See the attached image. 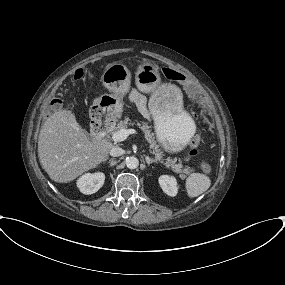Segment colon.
<instances>
[{
  "instance_id": "colon-1",
  "label": "colon",
  "mask_w": 285,
  "mask_h": 285,
  "mask_svg": "<svg viewBox=\"0 0 285 285\" xmlns=\"http://www.w3.org/2000/svg\"><path fill=\"white\" fill-rule=\"evenodd\" d=\"M163 74L167 79L182 84L189 98H191L193 100L201 101V102L204 101V99H205L204 93L186 75H184L180 72H177L171 68H163ZM83 76H84L83 69H77L72 74V79L73 80H79ZM60 107H61V103L57 99L53 100L49 105V109L51 111L57 110ZM195 118H197L196 115H195ZM199 145H200V138L198 136H196L190 142L189 152L186 156L187 160L194 158L198 154Z\"/></svg>"
}]
</instances>
